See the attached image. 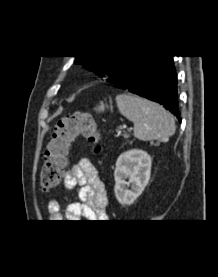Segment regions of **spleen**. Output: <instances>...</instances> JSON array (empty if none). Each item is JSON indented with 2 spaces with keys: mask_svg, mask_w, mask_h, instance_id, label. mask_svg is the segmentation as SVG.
Masks as SVG:
<instances>
[{
  "mask_svg": "<svg viewBox=\"0 0 218 277\" xmlns=\"http://www.w3.org/2000/svg\"><path fill=\"white\" fill-rule=\"evenodd\" d=\"M120 113L134 123V136L142 141H167L175 132L173 116L160 105L136 95L116 96Z\"/></svg>",
  "mask_w": 218,
  "mask_h": 277,
  "instance_id": "spleen-1",
  "label": "spleen"
}]
</instances>
